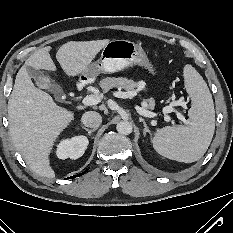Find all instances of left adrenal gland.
Wrapping results in <instances>:
<instances>
[{"label": "left adrenal gland", "mask_w": 233, "mask_h": 233, "mask_svg": "<svg viewBox=\"0 0 233 233\" xmlns=\"http://www.w3.org/2000/svg\"><path fill=\"white\" fill-rule=\"evenodd\" d=\"M139 120H140V122H142L143 125H144V130H143L144 135H146L147 133H149V134L151 135V132H150V130H149V128H148L146 122L144 121V119H143V118H139Z\"/></svg>", "instance_id": "1"}]
</instances>
